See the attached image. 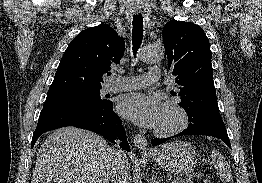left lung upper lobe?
<instances>
[{
  "label": "left lung upper lobe",
  "mask_w": 262,
  "mask_h": 183,
  "mask_svg": "<svg viewBox=\"0 0 262 183\" xmlns=\"http://www.w3.org/2000/svg\"><path fill=\"white\" fill-rule=\"evenodd\" d=\"M170 71L189 124L204 119H221L213 82L211 50L203 29L193 23L169 21L162 31Z\"/></svg>",
  "instance_id": "left-lung-upper-lobe-1"
}]
</instances>
